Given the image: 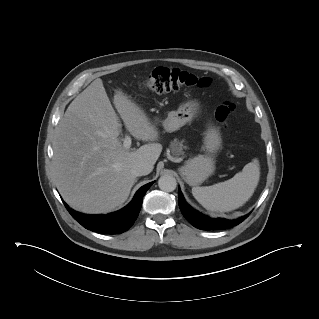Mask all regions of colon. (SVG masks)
Listing matches in <instances>:
<instances>
[{
	"mask_svg": "<svg viewBox=\"0 0 319 319\" xmlns=\"http://www.w3.org/2000/svg\"><path fill=\"white\" fill-rule=\"evenodd\" d=\"M210 84V80L205 77H197L189 72L180 69L157 67L146 78L142 84L144 91L154 93L177 92L182 89L200 87L204 88ZM234 109L231 102H224L215 111L216 120L224 125Z\"/></svg>",
	"mask_w": 319,
	"mask_h": 319,
	"instance_id": "colon-1",
	"label": "colon"
}]
</instances>
